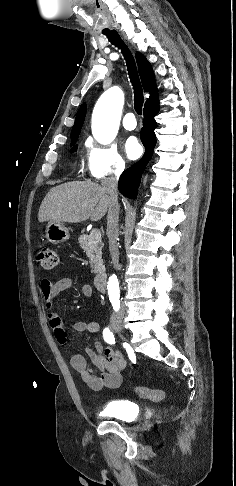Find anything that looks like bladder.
<instances>
[{
    "mask_svg": "<svg viewBox=\"0 0 236 486\" xmlns=\"http://www.w3.org/2000/svg\"><path fill=\"white\" fill-rule=\"evenodd\" d=\"M139 412V406L132 401L117 400L105 405L102 414L123 421L134 420Z\"/></svg>",
    "mask_w": 236,
    "mask_h": 486,
    "instance_id": "obj_1",
    "label": "bladder"
}]
</instances>
